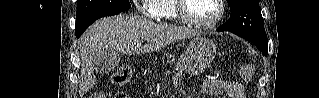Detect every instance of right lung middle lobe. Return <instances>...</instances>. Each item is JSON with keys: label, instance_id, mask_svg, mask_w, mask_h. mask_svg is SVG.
<instances>
[{"label": "right lung middle lobe", "instance_id": "obj_1", "mask_svg": "<svg viewBox=\"0 0 319 98\" xmlns=\"http://www.w3.org/2000/svg\"><path fill=\"white\" fill-rule=\"evenodd\" d=\"M129 8V0H78L76 20L96 14L121 12Z\"/></svg>", "mask_w": 319, "mask_h": 98}]
</instances>
